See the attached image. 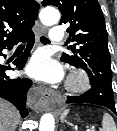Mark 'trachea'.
<instances>
[{
    "mask_svg": "<svg viewBox=\"0 0 117 131\" xmlns=\"http://www.w3.org/2000/svg\"><path fill=\"white\" fill-rule=\"evenodd\" d=\"M40 41H41L42 43H50V40H49L48 38L44 37V36H42V37L40 38Z\"/></svg>",
    "mask_w": 117,
    "mask_h": 131,
    "instance_id": "3493384b",
    "label": "trachea"
}]
</instances>
